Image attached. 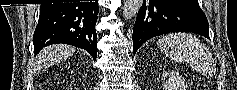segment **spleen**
Returning a JSON list of instances; mask_svg holds the SVG:
<instances>
[{
    "instance_id": "1",
    "label": "spleen",
    "mask_w": 237,
    "mask_h": 90,
    "mask_svg": "<svg viewBox=\"0 0 237 90\" xmlns=\"http://www.w3.org/2000/svg\"><path fill=\"white\" fill-rule=\"evenodd\" d=\"M158 48L174 62H183L205 74L212 58L204 44L193 34H167L158 42Z\"/></svg>"
}]
</instances>
